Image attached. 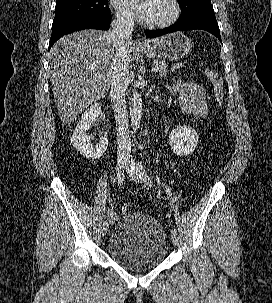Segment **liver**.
Masks as SVG:
<instances>
[{"label":"liver","mask_w":272,"mask_h":303,"mask_svg":"<svg viewBox=\"0 0 272 303\" xmlns=\"http://www.w3.org/2000/svg\"><path fill=\"white\" fill-rule=\"evenodd\" d=\"M160 38L152 39L159 41ZM129 63L135 45L128 44ZM116 49L111 30H81L60 38L51 48L49 73L60 120L71 124L111 87Z\"/></svg>","instance_id":"liver-1"}]
</instances>
